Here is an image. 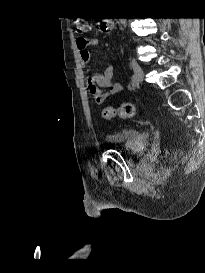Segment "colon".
Returning <instances> with one entry per match:
<instances>
[{
    "mask_svg": "<svg viewBox=\"0 0 205 273\" xmlns=\"http://www.w3.org/2000/svg\"><path fill=\"white\" fill-rule=\"evenodd\" d=\"M91 23L83 20L76 19L74 22L75 32L78 34H85L91 30ZM135 115V106L130 102L121 103L119 106H108L103 110V117L107 120L115 117L128 119Z\"/></svg>",
    "mask_w": 205,
    "mask_h": 273,
    "instance_id": "1",
    "label": "colon"
}]
</instances>
